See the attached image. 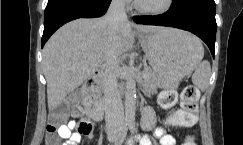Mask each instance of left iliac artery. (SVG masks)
Masks as SVG:
<instances>
[{"instance_id":"1","label":"left iliac artery","mask_w":243,"mask_h":145,"mask_svg":"<svg viewBox=\"0 0 243 145\" xmlns=\"http://www.w3.org/2000/svg\"><path fill=\"white\" fill-rule=\"evenodd\" d=\"M129 128H130V131H131L132 133H134V131H135V124H134V123H130V124H129Z\"/></svg>"}]
</instances>
